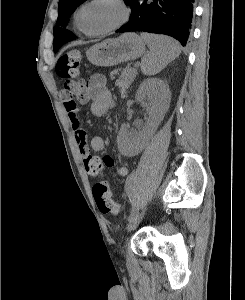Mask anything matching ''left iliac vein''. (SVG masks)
Listing matches in <instances>:
<instances>
[{"instance_id":"1","label":"left iliac vein","mask_w":245,"mask_h":300,"mask_svg":"<svg viewBox=\"0 0 245 300\" xmlns=\"http://www.w3.org/2000/svg\"><path fill=\"white\" fill-rule=\"evenodd\" d=\"M145 214V210H143L142 212L138 213L135 217H133L131 220H129L128 226H127V230L131 231L134 228H136L138 226V224L142 221L143 217Z\"/></svg>"}]
</instances>
